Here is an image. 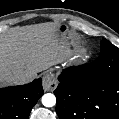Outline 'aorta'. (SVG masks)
<instances>
[{"label": "aorta", "mask_w": 119, "mask_h": 119, "mask_svg": "<svg viewBox=\"0 0 119 119\" xmlns=\"http://www.w3.org/2000/svg\"><path fill=\"white\" fill-rule=\"evenodd\" d=\"M42 104L45 107H53L56 104V97L54 94L47 93L42 96Z\"/></svg>", "instance_id": "1"}]
</instances>
